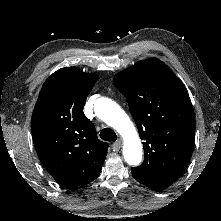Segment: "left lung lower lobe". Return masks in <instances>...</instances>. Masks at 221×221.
<instances>
[{"label": "left lung lower lobe", "mask_w": 221, "mask_h": 221, "mask_svg": "<svg viewBox=\"0 0 221 221\" xmlns=\"http://www.w3.org/2000/svg\"><path fill=\"white\" fill-rule=\"evenodd\" d=\"M171 184H150L147 185L148 187L154 189V190H159V189H163L166 188L168 186H170Z\"/></svg>", "instance_id": "left-lung-lower-lobe-1"}]
</instances>
